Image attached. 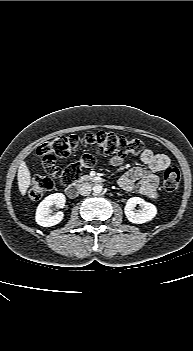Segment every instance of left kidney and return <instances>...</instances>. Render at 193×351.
<instances>
[{
	"label": "left kidney",
	"instance_id": "obj_1",
	"mask_svg": "<svg viewBox=\"0 0 193 351\" xmlns=\"http://www.w3.org/2000/svg\"><path fill=\"white\" fill-rule=\"evenodd\" d=\"M139 204L141 210L135 211L134 207ZM127 219L135 224H142L152 220L157 214V208L152 203L146 202L140 197H132L128 199L124 208Z\"/></svg>",
	"mask_w": 193,
	"mask_h": 351
}]
</instances>
